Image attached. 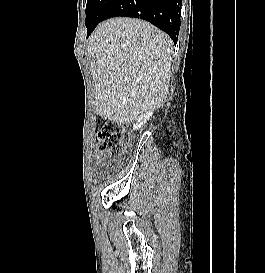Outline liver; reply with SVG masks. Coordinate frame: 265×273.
I'll list each match as a JSON object with an SVG mask.
<instances>
[{
  "mask_svg": "<svg viewBox=\"0 0 265 273\" xmlns=\"http://www.w3.org/2000/svg\"><path fill=\"white\" fill-rule=\"evenodd\" d=\"M173 42L149 22L117 17L98 25L88 43L96 112L130 124L163 106Z\"/></svg>",
  "mask_w": 265,
  "mask_h": 273,
  "instance_id": "liver-1",
  "label": "liver"
}]
</instances>
